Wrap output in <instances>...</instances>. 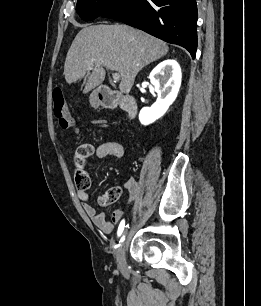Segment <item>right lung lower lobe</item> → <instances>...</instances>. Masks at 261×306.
<instances>
[{
  "mask_svg": "<svg viewBox=\"0 0 261 306\" xmlns=\"http://www.w3.org/2000/svg\"><path fill=\"white\" fill-rule=\"evenodd\" d=\"M101 17L122 21L166 42L197 48L196 0H124Z\"/></svg>",
  "mask_w": 261,
  "mask_h": 306,
  "instance_id": "1",
  "label": "right lung lower lobe"
}]
</instances>
